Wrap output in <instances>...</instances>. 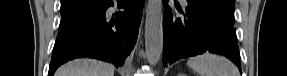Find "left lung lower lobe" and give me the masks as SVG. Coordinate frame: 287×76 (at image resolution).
<instances>
[{"label":"left lung lower lobe","instance_id":"1","mask_svg":"<svg viewBox=\"0 0 287 76\" xmlns=\"http://www.w3.org/2000/svg\"><path fill=\"white\" fill-rule=\"evenodd\" d=\"M163 0V64L204 52L222 54L241 71L235 28L225 19L188 2L184 17H177ZM180 10V9H179Z\"/></svg>","mask_w":287,"mask_h":76}]
</instances>
